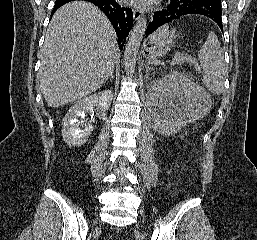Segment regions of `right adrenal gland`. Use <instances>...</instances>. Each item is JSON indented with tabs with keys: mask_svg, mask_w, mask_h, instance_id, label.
<instances>
[{
	"mask_svg": "<svg viewBox=\"0 0 257 240\" xmlns=\"http://www.w3.org/2000/svg\"><path fill=\"white\" fill-rule=\"evenodd\" d=\"M110 79V81H112L114 79V71L111 72V74L109 75V77L106 79V81H108ZM105 81V82H106Z\"/></svg>",
	"mask_w": 257,
	"mask_h": 240,
	"instance_id": "obj_1",
	"label": "right adrenal gland"
}]
</instances>
